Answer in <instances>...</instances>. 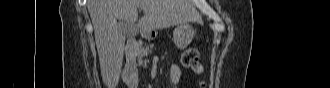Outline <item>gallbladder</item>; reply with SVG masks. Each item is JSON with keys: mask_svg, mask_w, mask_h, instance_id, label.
<instances>
[{"mask_svg": "<svg viewBox=\"0 0 330 88\" xmlns=\"http://www.w3.org/2000/svg\"><path fill=\"white\" fill-rule=\"evenodd\" d=\"M118 25L127 38L134 37L137 33L135 24L119 21Z\"/></svg>", "mask_w": 330, "mask_h": 88, "instance_id": "obj_1", "label": "gallbladder"}]
</instances>
